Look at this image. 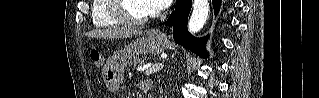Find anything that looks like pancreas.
Masks as SVG:
<instances>
[{"instance_id":"obj_1","label":"pancreas","mask_w":319,"mask_h":98,"mask_svg":"<svg viewBox=\"0 0 319 98\" xmlns=\"http://www.w3.org/2000/svg\"><path fill=\"white\" fill-rule=\"evenodd\" d=\"M143 65H144V60H142V59H136L131 64V66H133V68L140 67V66H143Z\"/></svg>"}]
</instances>
